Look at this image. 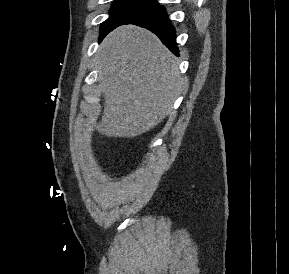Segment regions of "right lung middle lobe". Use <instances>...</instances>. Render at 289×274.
<instances>
[{
  "label": "right lung middle lobe",
  "instance_id": "dd1d6c3e",
  "mask_svg": "<svg viewBox=\"0 0 289 274\" xmlns=\"http://www.w3.org/2000/svg\"><path fill=\"white\" fill-rule=\"evenodd\" d=\"M156 5H158L156 0H116L110 10L109 18L101 25L99 39L102 40L122 23Z\"/></svg>",
  "mask_w": 289,
  "mask_h": 274
}]
</instances>
